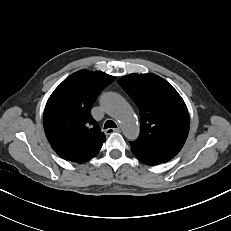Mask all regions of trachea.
<instances>
[{"instance_id": "1", "label": "trachea", "mask_w": 231, "mask_h": 231, "mask_svg": "<svg viewBox=\"0 0 231 231\" xmlns=\"http://www.w3.org/2000/svg\"><path fill=\"white\" fill-rule=\"evenodd\" d=\"M107 128H117V126L114 121L107 120L104 124V129H107Z\"/></svg>"}]
</instances>
